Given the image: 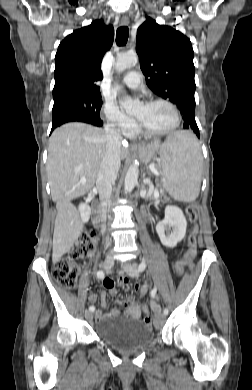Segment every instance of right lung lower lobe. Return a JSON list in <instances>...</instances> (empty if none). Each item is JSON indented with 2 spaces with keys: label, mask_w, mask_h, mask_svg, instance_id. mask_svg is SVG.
Listing matches in <instances>:
<instances>
[{
  "label": "right lung lower lobe",
  "mask_w": 252,
  "mask_h": 390,
  "mask_svg": "<svg viewBox=\"0 0 252 390\" xmlns=\"http://www.w3.org/2000/svg\"><path fill=\"white\" fill-rule=\"evenodd\" d=\"M73 121H78V122H85L89 123L98 127H101L103 122L102 121H95L86 117L82 116H75V115H66V116H61L58 118L53 119V125L51 131H53L54 128L60 126L63 123L67 122H73Z\"/></svg>",
  "instance_id": "obj_1"
}]
</instances>
